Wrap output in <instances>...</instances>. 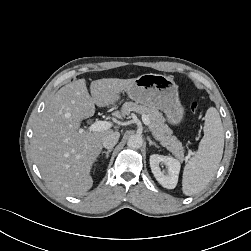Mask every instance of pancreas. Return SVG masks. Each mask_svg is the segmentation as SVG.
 Instances as JSON below:
<instances>
[{
	"label": "pancreas",
	"mask_w": 251,
	"mask_h": 251,
	"mask_svg": "<svg viewBox=\"0 0 251 251\" xmlns=\"http://www.w3.org/2000/svg\"><path fill=\"white\" fill-rule=\"evenodd\" d=\"M122 114L130 115L131 112H136L142 115H147L150 120L149 128L154 138L160 144L169 150L180 161L184 160V149L182 143L172 135V130L165 123V118L158 109L145 105H138L133 102H126L122 106Z\"/></svg>",
	"instance_id": "pancreas-1"
}]
</instances>
